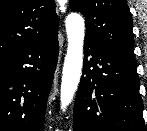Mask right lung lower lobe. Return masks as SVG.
<instances>
[{"label": "right lung lower lobe", "instance_id": "1", "mask_svg": "<svg viewBox=\"0 0 147 131\" xmlns=\"http://www.w3.org/2000/svg\"><path fill=\"white\" fill-rule=\"evenodd\" d=\"M57 34L0 56V131H44Z\"/></svg>", "mask_w": 147, "mask_h": 131}]
</instances>
